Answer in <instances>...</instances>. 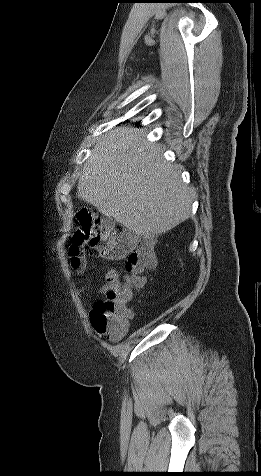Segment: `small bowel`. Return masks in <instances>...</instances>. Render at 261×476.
<instances>
[{"mask_svg":"<svg viewBox=\"0 0 261 476\" xmlns=\"http://www.w3.org/2000/svg\"><path fill=\"white\" fill-rule=\"evenodd\" d=\"M105 285H103L99 292L102 294H106L107 291L113 289V290H119L122 287V282L120 278V273L115 270V269H110L106 276H105Z\"/></svg>","mask_w":261,"mask_h":476,"instance_id":"1","label":"small bowel"}]
</instances>
